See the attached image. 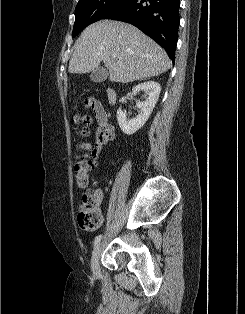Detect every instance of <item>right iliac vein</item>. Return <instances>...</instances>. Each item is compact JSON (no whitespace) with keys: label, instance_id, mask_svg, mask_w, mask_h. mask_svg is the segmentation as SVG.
<instances>
[{"label":"right iliac vein","instance_id":"right-iliac-vein-1","mask_svg":"<svg viewBox=\"0 0 245 314\" xmlns=\"http://www.w3.org/2000/svg\"><path fill=\"white\" fill-rule=\"evenodd\" d=\"M101 252V243H97L94 247L92 258H91V269L94 274H98L100 271L99 256Z\"/></svg>","mask_w":245,"mask_h":314}]
</instances>
